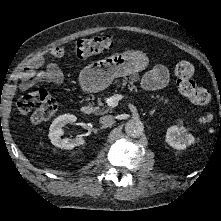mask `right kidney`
<instances>
[{
  "label": "right kidney",
  "mask_w": 221,
  "mask_h": 221,
  "mask_svg": "<svg viewBox=\"0 0 221 221\" xmlns=\"http://www.w3.org/2000/svg\"><path fill=\"white\" fill-rule=\"evenodd\" d=\"M76 116L72 114H64L52 122L50 128H49V138L51 140V143L59 147L61 149H73L76 146L83 145L85 143V140L83 137H77L75 139L70 138H61V135L63 134V127L68 123H73L76 121Z\"/></svg>",
  "instance_id": "right-kidney-1"
}]
</instances>
